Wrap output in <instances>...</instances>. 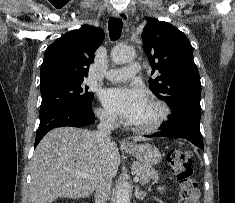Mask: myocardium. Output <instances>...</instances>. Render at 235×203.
Masks as SVG:
<instances>
[{
	"mask_svg": "<svg viewBox=\"0 0 235 203\" xmlns=\"http://www.w3.org/2000/svg\"><path fill=\"white\" fill-rule=\"evenodd\" d=\"M147 103L155 106L158 110L157 117L148 124H131V127L134 131L139 133H153L158 131L168 120L170 116L169 106L159 99H149Z\"/></svg>",
	"mask_w": 235,
	"mask_h": 203,
	"instance_id": "obj_1",
	"label": "myocardium"
}]
</instances>
